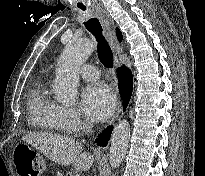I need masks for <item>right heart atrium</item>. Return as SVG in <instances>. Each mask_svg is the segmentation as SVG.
I'll list each match as a JSON object with an SVG mask.
<instances>
[{
    "mask_svg": "<svg viewBox=\"0 0 205 176\" xmlns=\"http://www.w3.org/2000/svg\"><path fill=\"white\" fill-rule=\"evenodd\" d=\"M60 117L63 125L66 127H81L85 124L81 113L73 107L60 106Z\"/></svg>",
    "mask_w": 205,
    "mask_h": 176,
    "instance_id": "1",
    "label": "right heart atrium"
}]
</instances>
